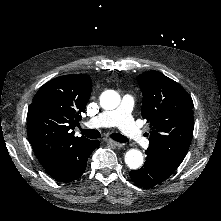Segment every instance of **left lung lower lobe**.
Returning a JSON list of instances; mask_svg holds the SVG:
<instances>
[{
    "mask_svg": "<svg viewBox=\"0 0 221 221\" xmlns=\"http://www.w3.org/2000/svg\"><path fill=\"white\" fill-rule=\"evenodd\" d=\"M146 162L142 168L130 172L131 179L143 188H152L165 181L176 169L166 165L159 156L146 151Z\"/></svg>",
    "mask_w": 221,
    "mask_h": 221,
    "instance_id": "left-lung-lower-lobe-1",
    "label": "left lung lower lobe"
}]
</instances>
